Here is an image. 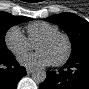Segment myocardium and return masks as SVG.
<instances>
[{
  "label": "myocardium",
  "mask_w": 89,
  "mask_h": 89,
  "mask_svg": "<svg viewBox=\"0 0 89 89\" xmlns=\"http://www.w3.org/2000/svg\"><path fill=\"white\" fill-rule=\"evenodd\" d=\"M57 37H62L65 41H66V44H67V50H66V53L65 55L59 59L58 61H55V62H52L51 64L53 66H62L64 64H66L68 62V60L70 59L71 55H72V52H73V44H72V41L70 39V37L66 34V33H63V32H60V31H57V32H53V33H50V34H47L43 37H41L35 44L34 46L36 47V45L40 42H48V41H51Z\"/></svg>",
  "instance_id": "1"
}]
</instances>
